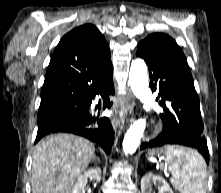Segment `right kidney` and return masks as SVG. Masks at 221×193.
Segmentation results:
<instances>
[{
	"label": "right kidney",
	"mask_w": 221,
	"mask_h": 193,
	"mask_svg": "<svg viewBox=\"0 0 221 193\" xmlns=\"http://www.w3.org/2000/svg\"><path fill=\"white\" fill-rule=\"evenodd\" d=\"M88 177L93 178L96 182H100L101 180L100 168L90 169L86 171L84 175L79 176L71 193H85V186L87 184Z\"/></svg>",
	"instance_id": "obj_1"
}]
</instances>
